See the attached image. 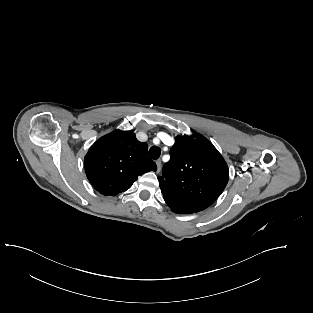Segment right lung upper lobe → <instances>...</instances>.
<instances>
[{
  "label": "right lung upper lobe",
  "mask_w": 313,
  "mask_h": 313,
  "mask_svg": "<svg viewBox=\"0 0 313 313\" xmlns=\"http://www.w3.org/2000/svg\"><path fill=\"white\" fill-rule=\"evenodd\" d=\"M147 150V143L139 142L133 132L115 130L88 150L84 158L87 178L105 196L124 192L139 175L157 170Z\"/></svg>",
  "instance_id": "obj_1"
}]
</instances>
